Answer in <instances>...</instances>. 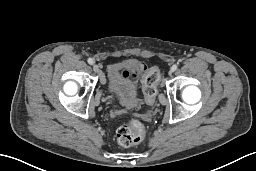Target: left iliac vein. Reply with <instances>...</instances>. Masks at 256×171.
<instances>
[{"instance_id": "1", "label": "left iliac vein", "mask_w": 256, "mask_h": 171, "mask_svg": "<svg viewBox=\"0 0 256 171\" xmlns=\"http://www.w3.org/2000/svg\"><path fill=\"white\" fill-rule=\"evenodd\" d=\"M172 72H173L172 69H170L169 74H171Z\"/></svg>"}]
</instances>
